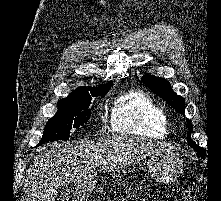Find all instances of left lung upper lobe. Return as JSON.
<instances>
[{
	"label": "left lung upper lobe",
	"instance_id": "5c2ea615",
	"mask_svg": "<svg viewBox=\"0 0 221 201\" xmlns=\"http://www.w3.org/2000/svg\"><path fill=\"white\" fill-rule=\"evenodd\" d=\"M143 83L148 86V88L160 96L162 99H164L168 104H170L175 110H177L179 113L183 114L185 110V102L183 97L177 95L171 88L169 82L165 81L162 78L154 77L148 74H145L142 77ZM188 123V135H187V141L188 144L196 150L200 155L205 156V151L203 148L198 146L192 139H191V133L193 131L192 129V123L189 119H186Z\"/></svg>",
	"mask_w": 221,
	"mask_h": 201
}]
</instances>
